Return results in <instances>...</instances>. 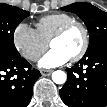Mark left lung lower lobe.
Masks as SVG:
<instances>
[{"mask_svg": "<svg viewBox=\"0 0 107 107\" xmlns=\"http://www.w3.org/2000/svg\"><path fill=\"white\" fill-rule=\"evenodd\" d=\"M66 70L67 81L60 96L68 107L107 106V43L85 53Z\"/></svg>", "mask_w": 107, "mask_h": 107, "instance_id": "obj_1", "label": "left lung lower lobe"}]
</instances>
